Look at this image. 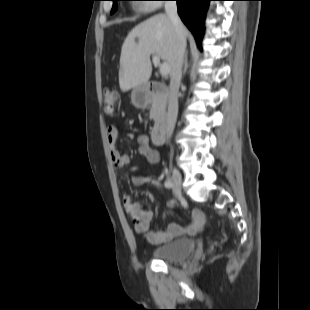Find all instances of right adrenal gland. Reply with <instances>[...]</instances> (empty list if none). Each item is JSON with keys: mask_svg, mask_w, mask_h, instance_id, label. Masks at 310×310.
<instances>
[{"mask_svg": "<svg viewBox=\"0 0 310 310\" xmlns=\"http://www.w3.org/2000/svg\"><path fill=\"white\" fill-rule=\"evenodd\" d=\"M188 53L185 54V59H184V69H183V75H185L187 69H188Z\"/></svg>", "mask_w": 310, "mask_h": 310, "instance_id": "right-adrenal-gland-1", "label": "right adrenal gland"}]
</instances>
